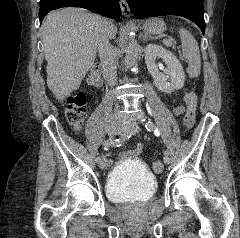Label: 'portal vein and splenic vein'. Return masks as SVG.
<instances>
[{"instance_id": "portal-vein-and-splenic-vein-1", "label": "portal vein and splenic vein", "mask_w": 240, "mask_h": 238, "mask_svg": "<svg viewBox=\"0 0 240 238\" xmlns=\"http://www.w3.org/2000/svg\"><path fill=\"white\" fill-rule=\"evenodd\" d=\"M163 42H164L165 45H168V46H171V45H172V42H171L170 39H168V40H163Z\"/></svg>"}]
</instances>
